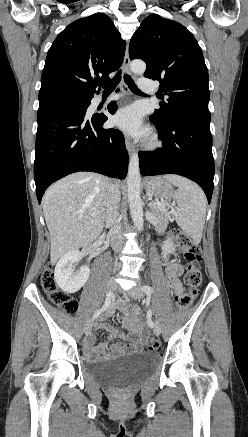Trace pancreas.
Here are the masks:
<instances>
[{"label": "pancreas", "instance_id": "pancreas-1", "mask_svg": "<svg viewBox=\"0 0 248 437\" xmlns=\"http://www.w3.org/2000/svg\"><path fill=\"white\" fill-rule=\"evenodd\" d=\"M151 212L156 218V222H157L156 227L158 230L164 229L169 223V221L171 220V212H169L168 209L165 207H161L153 204L151 206Z\"/></svg>", "mask_w": 248, "mask_h": 437}]
</instances>
